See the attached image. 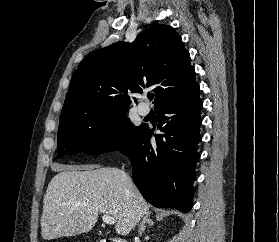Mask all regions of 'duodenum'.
Listing matches in <instances>:
<instances>
[{
	"mask_svg": "<svg viewBox=\"0 0 279 242\" xmlns=\"http://www.w3.org/2000/svg\"><path fill=\"white\" fill-rule=\"evenodd\" d=\"M105 242H126L122 239H118V238H115V239H111V240H106Z\"/></svg>",
	"mask_w": 279,
	"mask_h": 242,
	"instance_id": "410a0bca",
	"label": "duodenum"
}]
</instances>
